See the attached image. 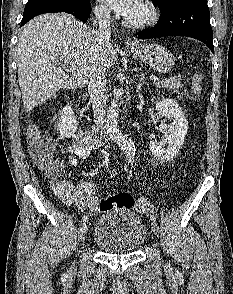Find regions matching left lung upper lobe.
Returning a JSON list of instances; mask_svg holds the SVG:
<instances>
[{
    "instance_id": "left-lung-upper-lobe-1",
    "label": "left lung upper lobe",
    "mask_w": 233,
    "mask_h": 294,
    "mask_svg": "<svg viewBox=\"0 0 233 294\" xmlns=\"http://www.w3.org/2000/svg\"><path fill=\"white\" fill-rule=\"evenodd\" d=\"M172 0H152L154 4H157L159 8L164 7L167 3Z\"/></svg>"
}]
</instances>
